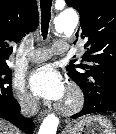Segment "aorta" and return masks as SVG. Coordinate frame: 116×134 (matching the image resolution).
<instances>
[{
  "label": "aorta",
  "mask_w": 116,
  "mask_h": 134,
  "mask_svg": "<svg viewBox=\"0 0 116 134\" xmlns=\"http://www.w3.org/2000/svg\"><path fill=\"white\" fill-rule=\"evenodd\" d=\"M78 23V15L72 9L63 11L55 21V30L61 33L67 29H73ZM59 119L54 114L48 115L42 122L39 134H56Z\"/></svg>",
  "instance_id": "762f6f07"
}]
</instances>
